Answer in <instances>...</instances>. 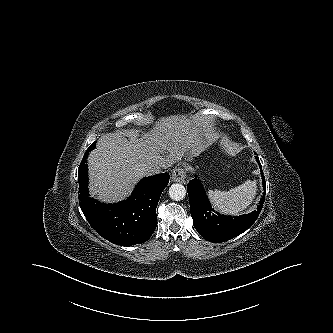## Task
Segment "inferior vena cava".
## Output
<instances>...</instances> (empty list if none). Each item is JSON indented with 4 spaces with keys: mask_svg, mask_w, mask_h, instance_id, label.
<instances>
[{
    "mask_svg": "<svg viewBox=\"0 0 333 333\" xmlns=\"http://www.w3.org/2000/svg\"><path fill=\"white\" fill-rule=\"evenodd\" d=\"M167 166L165 164H150L147 166L146 170L148 174H159L162 173L163 169H166Z\"/></svg>",
    "mask_w": 333,
    "mask_h": 333,
    "instance_id": "obj_1",
    "label": "inferior vena cava"
}]
</instances>
